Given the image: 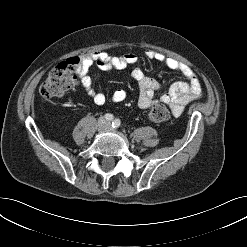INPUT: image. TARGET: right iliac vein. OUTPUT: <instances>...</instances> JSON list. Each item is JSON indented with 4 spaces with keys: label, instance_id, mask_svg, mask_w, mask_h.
I'll use <instances>...</instances> for the list:
<instances>
[{
    "label": "right iliac vein",
    "instance_id": "1",
    "mask_svg": "<svg viewBox=\"0 0 247 247\" xmlns=\"http://www.w3.org/2000/svg\"><path fill=\"white\" fill-rule=\"evenodd\" d=\"M97 128L99 131H103L105 129V120L104 119H99L97 123Z\"/></svg>",
    "mask_w": 247,
    "mask_h": 247
}]
</instances>
